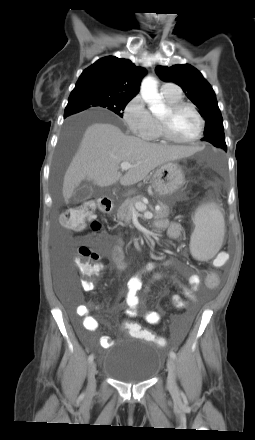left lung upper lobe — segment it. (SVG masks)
<instances>
[{
    "mask_svg": "<svg viewBox=\"0 0 255 440\" xmlns=\"http://www.w3.org/2000/svg\"><path fill=\"white\" fill-rule=\"evenodd\" d=\"M155 71L163 81L179 85L185 95L199 108V113L206 121L205 136L201 140L227 151L223 119L216 95L202 74L189 64L158 66Z\"/></svg>",
    "mask_w": 255,
    "mask_h": 440,
    "instance_id": "obj_1",
    "label": "left lung upper lobe"
}]
</instances>
